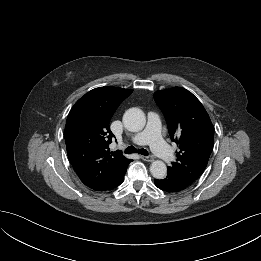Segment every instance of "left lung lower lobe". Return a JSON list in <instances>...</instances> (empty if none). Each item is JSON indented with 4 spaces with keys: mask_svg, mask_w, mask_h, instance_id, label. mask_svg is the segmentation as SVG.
I'll list each match as a JSON object with an SVG mask.
<instances>
[{
    "mask_svg": "<svg viewBox=\"0 0 261 261\" xmlns=\"http://www.w3.org/2000/svg\"><path fill=\"white\" fill-rule=\"evenodd\" d=\"M154 184L159 189L167 192H178L186 189L191 185L190 183L186 182L185 180L181 179L179 176L171 172H168L165 179H154Z\"/></svg>",
    "mask_w": 261,
    "mask_h": 261,
    "instance_id": "0a47b994",
    "label": "left lung lower lobe"
}]
</instances>
